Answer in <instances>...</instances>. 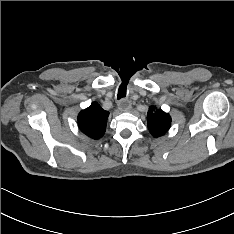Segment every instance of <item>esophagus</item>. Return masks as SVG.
Here are the masks:
<instances>
[{"label":"esophagus","instance_id":"1","mask_svg":"<svg viewBox=\"0 0 234 234\" xmlns=\"http://www.w3.org/2000/svg\"><path fill=\"white\" fill-rule=\"evenodd\" d=\"M118 108L121 111L127 112L131 109V103L128 100H122L118 103Z\"/></svg>","mask_w":234,"mask_h":234}]
</instances>
